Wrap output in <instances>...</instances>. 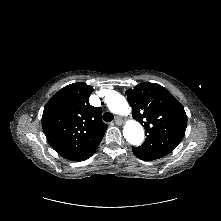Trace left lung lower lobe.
Masks as SVG:
<instances>
[{
    "mask_svg": "<svg viewBox=\"0 0 221 221\" xmlns=\"http://www.w3.org/2000/svg\"><path fill=\"white\" fill-rule=\"evenodd\" d=\"M132 150H133V153L138 157V158H140V159H142V160H146V159H143V158H141L139 155H137L136 153H135V151H134V148L132 147Z\"/></svg>",
    "mask_w": 221,
    "mask_h": 221,
    "instance_id": "left-lung-lower-lobe-1",
    "label": "left lung lower lobe"
}]
</instances>
